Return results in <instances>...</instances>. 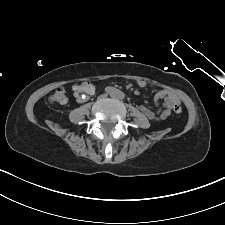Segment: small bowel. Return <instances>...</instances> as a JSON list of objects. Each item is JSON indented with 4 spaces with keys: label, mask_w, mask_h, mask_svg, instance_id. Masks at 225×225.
Returning <instances> with one entry per match:
<instances>
[{
    "label": "small bowel",
    "mask_w": 225,
    "mask_h": 225,
    "mask_svg": "<svg viewBox=\"0 0 225 225\" xmlns=\"http://www.w3.org/2000/svg\"><path fill=\"white\" fill-rule=\"evenodd\" d=\"M136 84L141 88H147V83L145 81H137ZM94 93L95 87L93 85V89L89 92L75 93V98L78 102H83L87 95H92ZM154 102L157 107L155 112L144 106L141 107V111L149 119L165 120L170 116L172 109L179 104V99L175 94L162 89L156 93Z\"/></svg>",
    "instance_id": "small-bowel-1"
}]
</instances>
